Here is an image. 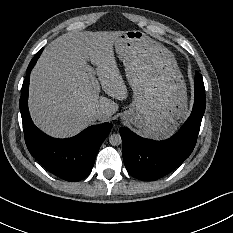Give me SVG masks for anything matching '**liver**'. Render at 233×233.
I'll return each instance as SVG.
<instances>
[{
	"instance_id": "1",
	"label": "liver",
	"mask_w": 233,
	"mask_h": 233,
	"mask_svg": "<svg viewBox=\"0 0 233 233\" xmlns=\"http://www.w3.org/2000/svg\"><path fill=\"white\" fill-rule=\"evenodd\" d=\"M121 31L68 32L53 40L42 52L30 74L29 110L34 123L54 137L79 133L96 120L94 113L104 110L100 121L114 115L128 97L120 74L113 43ZM90 61L96 66L87 64ZM96 74L100 96L91 78Z\"/></svg>"
}]
</instances>
